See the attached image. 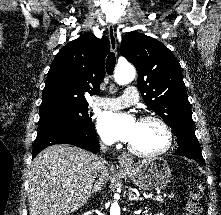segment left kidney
Wrapping results in <instances>:
<instances>
[{"instance_id": "1", "label": "left kidney", "mask_w": 221, "mask_h": 215, "mask_svg": "<svg viewBox=\"0 0 221 215\" xmlns=\"http://www.w3.org/2000/svg\"><path fill=\"white\" fill-rule=\"evenodd\" d=\"M156 215H163L162 213H158V214H156Z\"/></svg>"}]
</instances>
